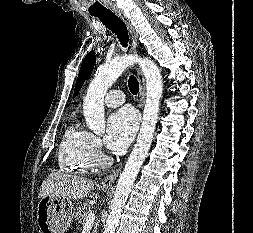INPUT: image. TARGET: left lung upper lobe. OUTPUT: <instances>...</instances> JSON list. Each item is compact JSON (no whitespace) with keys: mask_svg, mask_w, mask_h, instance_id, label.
Masks as SVG:
<instances>
[{"mask_svg":"<svg viewBox=\"0 0 253 233\" xmlns=\"http://www.w3.org/2000/svg\"><path fill=\"white\" fill-rule=\"evenodd\" d=\"M95 61H96V55L94 51L89 52L84 58L77 81H76L74 96L79 92L81 86L84 83V80H86L90 76L93 70Z\"/></svg>","mask_w":253,"mask_h":233,"instance_id":"5c2ea615","label":"left lung upper lobe"}]
</instances>
